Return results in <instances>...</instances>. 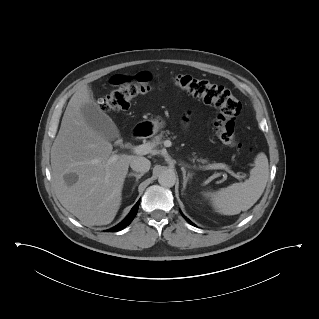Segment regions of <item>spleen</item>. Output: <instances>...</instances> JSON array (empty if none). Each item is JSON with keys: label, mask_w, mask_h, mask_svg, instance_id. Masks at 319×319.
<instances>
[{"label": "spleen", "mask_w": 319, "mask_h": 319, "mask_svg": "<svg viewBox=\"0 0 319 319\" xmlns=\"http://www.w3.org/2000/svg\"><path fill=\"white\" fill-rule=\"evenodd\" d=\"M269 177L267 156L261 152L254 160L250 177L210 194L213 207L224 215H236L250 209L263 194Z\"/></svg>", "instance_id": "obj_1"}]
</instances>
